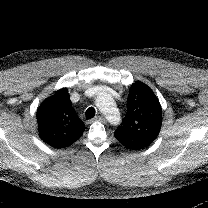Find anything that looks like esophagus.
Returning a JSON list of instances; mask_svg holds the SVG:
<instances>
[{
    "mask_svg": "<svg viewBox=\"0 0 208 208\" xmlns=\"http://www.w3.org/2000/svg\"><path fill=\"white\" fill-rule=\"evenodd\" d=\"M95 121L106 122V119L103 116H96L94 118Z\"/></svg>",
    "mask_w": 208,
    "mask_h": 208,
    "instance_id": "34e87169",
    "label": "esophagus"
}]
</instances>
